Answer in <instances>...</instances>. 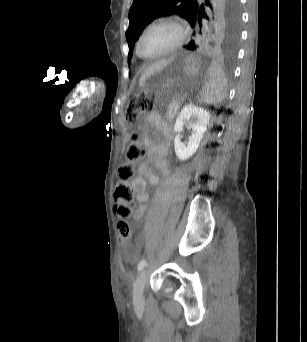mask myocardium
<instances>
[{
    "label": "myocardium",
    "mask_w": 307,
    "mask_h": 342,
    "mask_svg": "<svg viewBox=\"0 0 307 342\" xmlns=\"http://www.w3.org/2000/svg\"><path fill=\"white\" fill-rule=\"evenodd\" d=\"M157 23H169V24H171L177 32V39L169 48H167L163 52L159 53L158 55L153 56V57H146L143 55V53L141 51L142 38H143L144 34L146 33V31L151 26H153ZM185 39H186V34H185L182 23L177 18L162 15V16H158V17L148 21L144 25V27L141 29L139 36H138V39H137L136 50H137L138 55L142 59H144L146 61H154V60L161 59L165 56H168V55L174 53L175 51H177L178 49H180L184 45Z\"/></svg>",
    "instance_id": "obj_1"
}]
</instances>
